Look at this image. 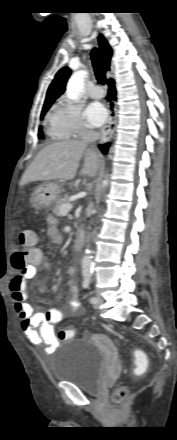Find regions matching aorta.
Segmentation results:
<instances>
[{"label": "aorta", "mask_w": 177, "mask_h": 440, "mask_svg": "<svg viewBox=\"0 0 177 440\" xmlns=\"http://www.w3.org/2000/svg\"><path fill=\"white\" fill-rule=\"evenodd\" d=\"M87 76V72L85 70H80L72 74L70 77L67 87H66V96L74 101H77L80 98L81 93L84 90V80ZM108 185V179L106 177L102 182V187L105 188ZM82 272L83 274L90 275L92 272V251L90 250L89 245L85 250V255L82 259Z\"/></svg>", "instance_id": "1"}]
</instances>
